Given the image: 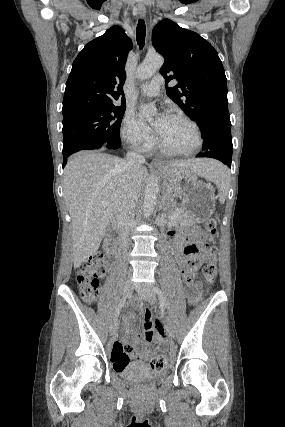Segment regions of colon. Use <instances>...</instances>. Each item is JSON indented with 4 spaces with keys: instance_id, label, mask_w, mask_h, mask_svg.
Segmentation results:
<instances>
[{
    "instance_id": "colon-1",
    "label": "colon",
    "mask_w": 285,
    "mask_h": 427,
    "mask_svg": "<svg viewBox=\"0 0 285 427\" xmlns=\"http://www.w3.org/2000/svg\"><path fill=\"white\" fill-rule=\"evenodd\" d=\"M216 230V221L209 219L203 229H192L188 233V238L191 242L186 245L185 252L190 260V268L185 271V278L190 301L197 299L201 291V282L196 277L195 272L202 270L208 281H212L216 276L217 268L214 260H210L205 266L195 260L196 255L202 250H207L211 256L216 254V247L205 242V234H215ZM106 268V262L101 257L88 258L77 265L76 281L79 286L80 296L85 302H93L95 300L98 287L106 273ZM122 347L127 353L132 351L129 344H123ZM168 363V357L164 354H159L149 361L153 370H162L168 366Z\"/></svg>"
}]
</instances>
